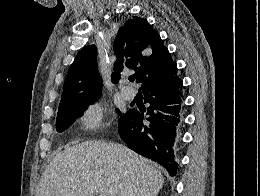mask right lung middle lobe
Masks as SVG:
<instances>
[{
    "label": "right lung middle lobe",
    "instance_id": "dd1d6c3e",
    "mask_svg": "<svg viewBox=\"0 0 260 196\" xmlns=\"http://www.w3.org/2000/svg\"><path fill=\"white\" fill-rule=\"evenodd\" d=\"M101 97V94H95L88 97L81 98L74 101L69 106L58 111L56 119V130L62 132L66 130L79 116L81 112L84 111L89 104H93L97 99ZM119 114H121L118 111ZM124 114L118 120V123L123 120Z\"/></svg>",
    "mask_w": 260,
    "mask_h": 196
}]
</instances>
